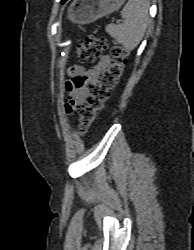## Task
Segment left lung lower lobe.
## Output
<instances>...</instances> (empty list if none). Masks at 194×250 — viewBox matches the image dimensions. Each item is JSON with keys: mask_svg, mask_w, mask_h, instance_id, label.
<instances>
[{"mask_svg": "<svg viewBox=\"0 0 194 250\" xmlns=\"http://www.w3.org/2000/svg\"><path fill=\"white\" fill-rule=\"evenodd\" d=\"M66 2V0H62V3H65Z\"/></svg>", "mask_w": 194, "mask_h": 250, "instance_id": "1", "label": "left lung lower lobe"}]
</instances>
